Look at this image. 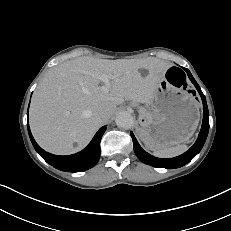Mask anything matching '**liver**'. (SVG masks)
Returning <instances> with one entry per match:
<instances>
[{
    "label": "liver",
    "instance_id": "obj_1",
    "mask_svg": "<svg viewBox=\"0 0 231 231\" xmlns=\"http://www.w3.org/2000/svg\"><path fill=\"white\" fill-rule=\"evenodd\" d=\"M169 67L153 57H80L53 67L31 100L29 122L35 140L44 150L57 155L83 149L124 100L150 103ZM140 69L147 70V75L142 76ZM102 74L110 79L107 92L99 85ZM100 110L108 111L109 118L102 120L98 116Z\"/></svg>",
    "mask_w": 231,
    "mask_h": 231
}]
</instances>
